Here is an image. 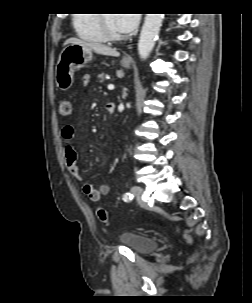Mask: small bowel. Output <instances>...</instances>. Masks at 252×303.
I'll return each instance as SVG.
<instances>
[{"label":"small bowel","mask_w":252,"mask_h":303,"mask_svg":"<svg viewBox=\"0 0 252 303\" xmlns=\"http://www.w3.org/2000/svg\"><path fill=\"white\" fill-rule=\"evenodd\" d=\"M89 82H90V76L85 75L83 77L84 85L87 86ZM61 135L65 141L63 154H64V161L66 164L67 171L73 177V179L77 181H81L82 176L77 164V152L74 145L71 142L74 137V128L70 124L64 125L62 128ZM82 191L91 201L97 202L100 200L102 196H105L109 193L110 186L106 183H103L99 187H95L91 183H84L82 185Z\"/></svg>","instance_id":"obj_1"}]
</instances>
